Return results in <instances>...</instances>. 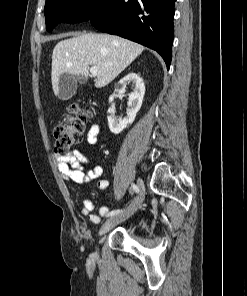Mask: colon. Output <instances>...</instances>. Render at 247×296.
<instances>
[{"mask_svg":"<svg viewBox=\"0 0 247 296\" xmlns=\"http://www.w3.org/2000/svg\"><path fill=\"white\" fill-rule=\"evenodd\" d=\"M90 116L87 110L77 104H72L67 108L65 117L53 128L54 150L56 153L65 154L80 142Z\"/></svg>","mask_w":247,"mask_h":296,"instance_id":"obj_1","label":"colon"}]
</instances>
